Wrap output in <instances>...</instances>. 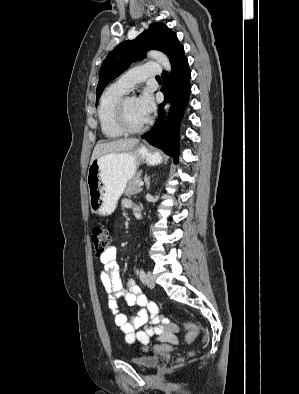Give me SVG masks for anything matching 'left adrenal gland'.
Segmentation results:
<instances>
[{
  "instance_id": "left-adrenal-gland-1",
  "label": "left adrenal gland",
  "mask_w": 299,
  "mask_h": 394,
  "mask_svg": "<svg viewBox=\"0 0 299 394\" xmlns=\"http://www.w3.org/2000/svg\"><path fill=\"white\" fill-rule=\"evenodd\" d=\"M145 183H146L147 190H149V186H150V178L149 177L145 178Z\"/></svg>"
}]
</instances>
